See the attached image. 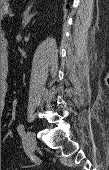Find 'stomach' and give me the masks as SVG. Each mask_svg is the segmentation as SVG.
Instances as JSON below:
<instances>
[{"label":"stomach","instance_id":"1","mask_svg":"<svg viewBox=\"0 0 109 170\" xmlns=\"http://www.w3.org/2000/svg\"><path fill=\"white\" fill-rule=\"evenodd\" d=\"M9 0H1V6L3 7L4 5H7Z\"/></svg>","mask_w":109,"mask_h":170}]
</instances>
